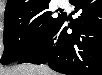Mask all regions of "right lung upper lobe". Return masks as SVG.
<instances>
[{
	"mask_svg": "<svg viewBox=\"0 0 102 75\" xmlns=\"http://www.w3.org/2000/svg\"><path fill=\"white\" fill-rule=\"evenodd\" d=\"M49 2L50 0H7L5 15L19 11L37 9Z\"/></svg>",
	"mask_w": 102,
	"mask_h": 75,
	"instance_id": "cb5924a9",
	"label": "right lung upper lobe"
}]
</instances>
